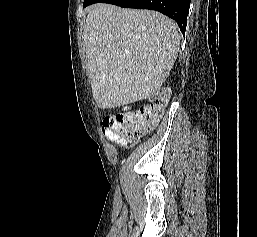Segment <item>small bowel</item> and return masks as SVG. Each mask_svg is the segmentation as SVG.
Wrapping results in <instances>:
<instances>
[{"label":"small bowel","mask_w":257,"mask_h":237,"mask_svg":"<svg viewBox=\"0 0 257 237\" xmlns=\"http://www.w3.org/2000/svg\"><path fill=\"white\" fill-rule=\"evenodd\" d=\"M111 140H112L113 142H115L116 144H119V145L124 144V140H119V139H117V138H115V137H111Z\"/></svg>","instance_id":"small-bowel-1"}]
</instances>
